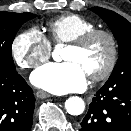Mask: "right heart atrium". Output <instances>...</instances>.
I'll return each mask as SVG.
<instances>
[{
	"label": "right heart atrium",
	"instance_id": "right-heart-atrium-1",
	"mask_svg": "<svg viewBox=\"0 0 131 131\" xmlns=\"http://www.w3.org/2000/svg\"><path fill=\"white\" fill-rule=\"evenodd\" d=\"M51 51L50 41L38 28L21 32L11 44L14 61L22 69H31L47 61Z\"/></svg>",
	"mask_w": 131,
	"mask_h": 131
}]
</instances>
